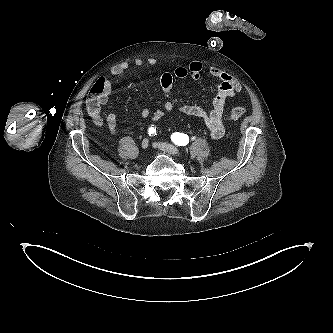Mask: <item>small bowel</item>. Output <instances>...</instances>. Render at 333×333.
Returning a JSON list of instances; mask_svg holds the SVG:
<instances>
[{
    "mask_svg": "<svg viewBox=\"0 0 333 333\" xmlns=\"http://www.w3.org/2000/svg\"><path fill=\"white\" fill-rule=\"evenodd\" d=\"M146 63L154 66L157 64V60L155 58H148ZM144 64L145 61L142 59L137 58L134 60V65L136 67H141ZM129 67L130 64L128 62L116 64L110 69V75L114 77L121 76L129 69ZM202 69L203 67L200 62L192 61L187 66L176 67L173 74H163L160 79V84L162 91L167 98V101L163 105V109L156 110L151 114L149 109L144 108L141 111V117L146 119L151 115L154 120H158L164 115L165 112H171L176 106L174 100L172 99V85L174 77H189L193 80H197L200 77ZM208 72L217 80L210 108L204 109L197 105L183 103L178 105V109L184 114L202 118L205 121L210 136L214 139H219L225 132L223 124L225 101L227 98L232 97L235 93L240 92L242 90V86L235 78L219 68L211 67ZM103 83L104 95L102 104L104 105L107 103L111 93V82L109 79H103ZM93 120L94 124L99 128L108 127L110 132L113 134H118L120 132L117 125V115L114 112L108 113L105 118L100 115L93 118Z\"/></svg>",
    "mask_w": 333,
    "mask_h": 333,
    "instance_id": "small-bowel-1",
    "label": "small bowel"
}]
</instances>
